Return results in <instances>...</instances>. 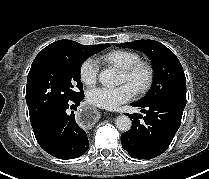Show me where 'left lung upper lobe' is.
<instances>
[{
  "mask_svg": "<svg viewBox=\"0 0 209 179\" xmlns=\"http://www.w3.org/2000/svg\"><path fill=\"white\" fill-rule=\"evenodd\" d=\"M145 53L154 67V81L148 94L136 101L146 104L167 97L186 96V78L178 58L163 44L153 40H136L117 44Z\"/></svg>",
  "mask_w": 209,
  "mask_h": 179,
  "instance_id": "1",
  "label": "left lung upper lobe"
}]
</instances>
